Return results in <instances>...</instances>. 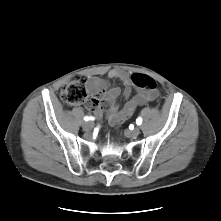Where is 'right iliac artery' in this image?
<instances>
[{
    "label": "right iliac artery",
    "instance_id": "1",
    "mask_svg": "<svg viewBox=\"0 0 221 221\" xmlns=\"http://www.w3.org/2000/svg\"><path fill=\"white\" fill-rule=\"evenodd\" d=\"M84 120H85V121H89V120H94V118H93V117L85 116V117H84Z\"/></svg>",
    "mask_w": 221,
    "mask_h": 221
}]
</instances>
